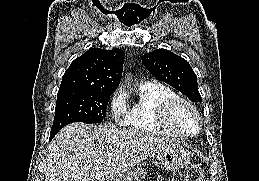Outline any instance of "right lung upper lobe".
<instances>
[{
  "label": "right lung upper lobe",
  "instance_id": "cb5924a9",
  "mask_svg": "<svg viewBox=\"0 0 259 181\" xmlns=\"http://www.w3.org/2000/svg\"><path fill=\"white\" fill-rule=\"evenodd\" d=\"M123 61L124 52L118 48H91L71 63L59 89L114 92L120 83Z\"/></svg>",
  "mask_w": 259,
  "mask_h": 181
}]
</instances>
